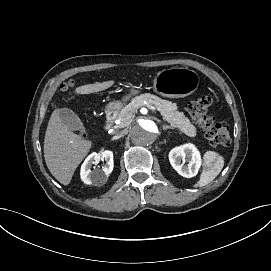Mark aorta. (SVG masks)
<instances>
[{"label": "aorta", "instance_id": "obj_1", "mask_svg": "<svg viewBox=\"0 0 271 271\" xmlns=\"http://www.w3.org/2000/svg\"><path fill=\"white\" fill-rule=\"evenodd\" d=\"M159 130L157 123L151 119H142L130 130V139L135 146L150 147L157 139Z\"/></svg>", "mask_w": 271, "mask_h": 271}]
</instances>
